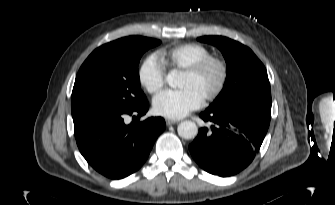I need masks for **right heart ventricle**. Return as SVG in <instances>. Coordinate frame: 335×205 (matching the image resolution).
Masks as SVG:
<instances>
[{"instance_id": "e07e8e85", "label": "right heart ventricle", "mask_w": 335, "mask_h": 205, "mask_svg": "<svg viewBox=\"0 0 335 205\" xmlns=\"http://www.w3.org/2000/svg\"><path fill=\"white\" fill-rule=\"evenodd\" d=\"M210 55L207 47L197 43H184L159 52L164 64L179 70H184Z\"/></svg>"}]
</instances>
